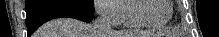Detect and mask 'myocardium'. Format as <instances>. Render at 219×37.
<instances>
[{
	"label": "myocardium",
	"mask_w": 219,
	"mask_h": 37,
	"mask_svg": "<svg viewBox=\"0 0 219 37\" xmlns=\"http://www.w3.org/2000/svg\"><path fill=\"white\" fill-rule=\"evenodd\" d=\"M144 0H131L130 3V16L132 18V20L139 26L141 27H147V28H161L163 26H165L172 18L173 16V5H172V1L170 0H164L168 7H169V15L168 17L161 21V22H152V21H148L144 18H142L139 13H138V5L139 3H141Z\"/></svg>",
	"instance_id": "obj_1"
}]
</instances>
